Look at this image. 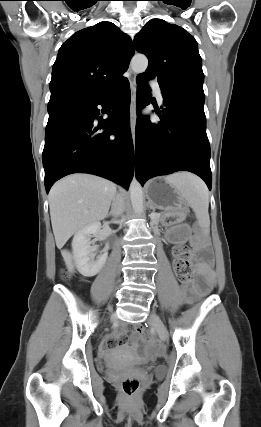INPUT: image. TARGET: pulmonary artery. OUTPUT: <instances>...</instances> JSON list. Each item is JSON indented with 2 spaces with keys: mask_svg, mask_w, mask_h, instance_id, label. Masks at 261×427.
Segmentation results:
<instances>
[{
  "mask_svg": "<svg viewBox=\"0 0 261 427\" xmlns=\"http://www.w3.org/2000/svg\"><path fill=\"white\" fill-rule=\"evenodd\" d=\"M150 85H151L152 89L154 90L157 101L159 102V104H162L163 103V96H162V92H161L159 84L155 81H151Z\"/></svg>",
  "mask_w": 261,
  "mask_h": 427,
  "instance_id": "e3ab8cb5",
  "label": "pulmonary artery"
}]
</instances>
